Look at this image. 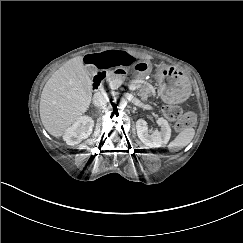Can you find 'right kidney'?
Instances as JSON below:
<instances>
[{"label": "right kidney", "mask_w": 243, "mask_h": 243, "mask_svg": "<svg viewBox=\"0 0 243 243\" xmlns=\"http://www.w3.org/2000/svg\"><path fill=\"white\" fill-rule=\"evenodd\" d=\"M91 117L81 116L69 127L63 135V140L68 145H76L82 141L86 135L87 129L92 125Z\"/></svg>", "instance_id": "1"}]
</instances>
